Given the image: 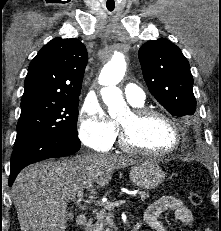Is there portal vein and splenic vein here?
<instances>
[{
  "mask_svg": "<svg viewBox=\"0 0 221 231\" xmlns=\"http://www.w3.org/2000/svg\"><path fill=\"white\" fill-rule=\"evenodd\" d=\"M77 198L79 201L83 200L84 199V195H83V192L82 191H79L77 193ZM128 198H123V199H119V200H116L114 202H106V203H103V202H99V201H95L94 204L95 205H99V206H103V207H106L108 209H113L117 206H120L122 204H125L127 202Z\"/></svg>",
  "mask_w": 221,
  "mask_h": 231,
  "instance_id": "obj_1",
  "label": "portal vein and splenic vein"
}]
</instances>
